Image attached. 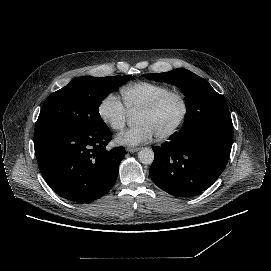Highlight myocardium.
Here are the masks:
<instances>
[{
	"mask_svg": "<svg viewBox=\"0 0 271 271\" xmlns=\"http://www.w3.org/2000/svg\"><path fill=\"white\" fill-rule=\"evenodd\" d=\"M174 96L178 97L181 102L182 113L178 122L175 124V126L172 129H170L168 132L162 135L156 136L157 140L159 141H165V140H169L173 138L184 125L189 113V103H188V99L186 95L180 90L170 89L164 94L157 97L149 105L145 106L138 112V114L153 113L157 111L169 98L174 97Z\"/></svg>",
	"mask_w": 271,
	"mask_h": 271,
	"instance_id": "myocardium-1",
	"label": "myocardium"
}]
</instances>
